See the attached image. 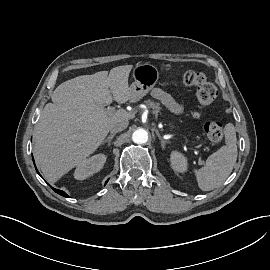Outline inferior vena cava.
<instances>
[{
	"label": "inferior vena cava",
	"instance_id": "602c4592",
	"mask_svg": "<svg viewBox=\"0 0 270 270\" xmlns=\"http://www.w3.org/2000/svg\"><path fill=\"white\" fill-rule=\"evenodd\" d=\"M128 124H129L128 120L115 122L114 124L111 125L110 131L111 133L121 132L127 128Z\"/></svg>",
	"mask_w": 270,
	"mask_h": 270
}]
</instances>
